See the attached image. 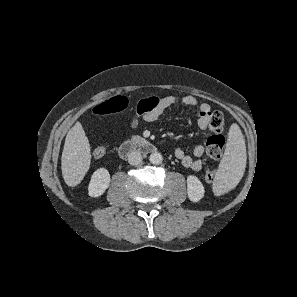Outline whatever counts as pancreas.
I'll list each match as a JSON object with an SVG mask.
<instances>
[{
  "label": "pancreas",
  "mask_w": 297,
  "mask_h": 297,
  "mask_svg": "<svg viewBox=\"0 0 297 297\" xmlns=\"http://www.w3.org/2000/svg\"><path fill=\"white\" fill-rule=\"evenodd\" d=\"M139 138H140V137L137 136V135L132 136V140H133V141H136V140H138Z\"/></svg>",
  "instance_id": "pancreas-1"
}]
</instances>
